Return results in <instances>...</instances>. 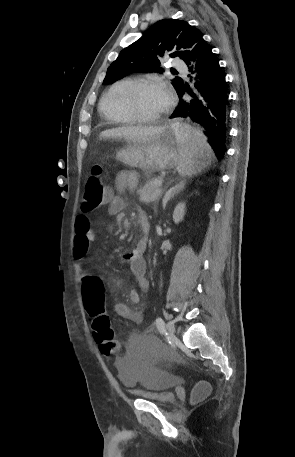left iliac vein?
<instances>
[{"label":"left iliac vein","instance_id":"obj_1","mask_svg":"<svg viewBox=\"0 0 295 457\" xmlns=\"http://www.w3.org/2000/svg\"><path fill=\"white\" fill-rule=\"evenodd\" d=\"M166 330L170 337L174 336L175 333V325L173 321H168L166 324Z\"/></svg>","mask_w":295,"mask_h":457}]
</instances>
